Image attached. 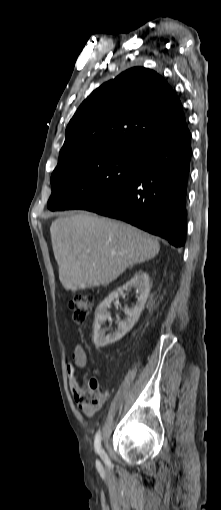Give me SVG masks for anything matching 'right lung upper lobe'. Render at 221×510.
<instances>
[{
	"instance_id": "cb5924a9",
	"label": "right lung upper lobe",
	"mask_w": 221,
	"mask_h": 510,
	"mask_svg": "<svg viewBox=\"0 0 221 510\" xmlns=\"http://www.w3.org/2000/svg\"><path fill=\"white\" fill-rule=\"evenodd\" d=\"M189 132L182 104L156 72L131 68L94 90L66 129L59 162L78 154L137 147Z\"/></svg>"
}]
</instances>
